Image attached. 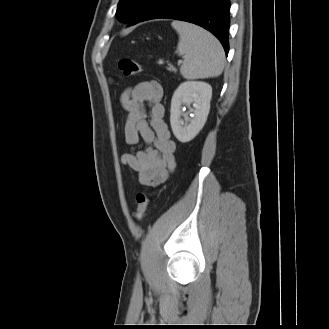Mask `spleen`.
Returning <instances> with one entry per match:
<instances>
[{"instance_id":"spleen-1","label":"spleen","mask_w":329,"mask_h":329,"mask_svg":"<svg viewBox=\"0 0 329 329\" xmlns=\"http://www.w3.org/2000/svg\"><path fill=\"white\" fill-rule=\"evenodd\" d=\"M179 34L177 53L184 57L180 73L186 79L219 76L224 69V50L208 31L183 21H173Z\"/></svg>"}]
</instances>
